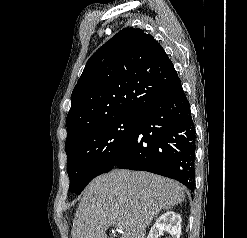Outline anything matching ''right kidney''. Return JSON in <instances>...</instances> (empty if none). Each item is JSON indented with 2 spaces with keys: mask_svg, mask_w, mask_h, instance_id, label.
I'll use <instances>...</instances> for the list:
<instances>
[{
  "mask_svg": "<svg viewBox=\"0 0 247 238\" xmlns=\"http://www.w3.org/2000/svg\"><path fill=\"white\" fill-rule=\"evenodd\" d=\"M164 231L170 234L169 238H180L181 216L174 211H167L162 214L150 229L147 238H158Z\"/></svg>",
  "mask_w": 247,
  "mask_h": 238,
  "instance_id": "obj_1",
  "label": "right kidney"
}]
</instances>
